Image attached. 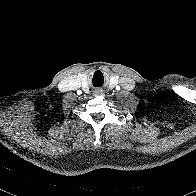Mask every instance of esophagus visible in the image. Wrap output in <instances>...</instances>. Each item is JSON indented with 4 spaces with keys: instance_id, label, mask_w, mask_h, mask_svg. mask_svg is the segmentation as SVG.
I'll use <instances>...</instances> for the list:
<instances>
[{
    "instance_id": "obj_1",
    "label": "esophagus",
    "mask_w": 196,
    "mask_h": 196,
    "mask_svg": "<svg viewBox=\"0 0 196 196\" xmlns=\"http://www.w3.org/2000/svg\"><path fill=\"white\" fill-rule=\"evenodd\" d=\"M95 94H100L101 93V91L100 90H95V92H94Z\"/></svg>"
}]
</instances>
